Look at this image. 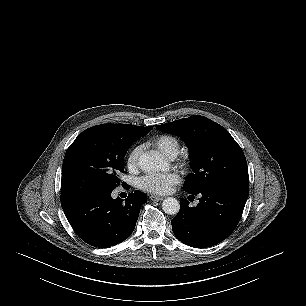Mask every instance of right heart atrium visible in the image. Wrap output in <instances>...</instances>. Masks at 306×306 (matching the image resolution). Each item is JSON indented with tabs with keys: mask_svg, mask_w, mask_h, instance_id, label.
I'll return each instance as SVG.
<instances>
[{
	"mask_svg": "<svg viewBox=\"0 0 306 306\" xmlns=\"http://www.w3.org/2000/svg\"><path fill=\"white\" fill-rule=\"evenodd\" d=\"M143 152L141 145L134 146L127 156V167L131 171H136L139 167V160Z\"/></svg>",
	"mask_w": 306,
	"mask_h": 306,
	"instance_id": "right-heart-atrium-1",
	"label": "right heart atrium"
}]
</instances>
